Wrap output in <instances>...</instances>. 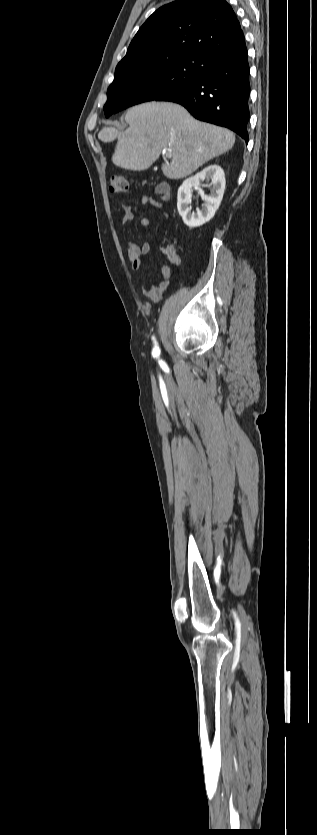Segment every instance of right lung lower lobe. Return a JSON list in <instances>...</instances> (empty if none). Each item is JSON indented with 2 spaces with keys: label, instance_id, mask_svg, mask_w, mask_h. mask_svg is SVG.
Here are the masks:
<instances>
[{
  "label": "right lung lower lobe",
  "instance_id": "98d812e1",
  "mask_svg": "<svg viewBox=\"0 0 317 835\" xmlns=\"http://www.w3.org/2000/svg\"><path fill=\"white\" fill-rule=\"evenodd\" d=\"M200 76L156 99L183 105L196 119L227 127L248 143L250 83L244 35L197 57Z\"/></svg>",
  "mask_w": 317,
  "mask_h": 835
}]
</instances>
